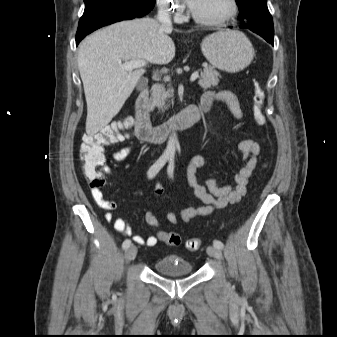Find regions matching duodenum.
<instances>
[{
  "label": "duodenum",
  "instance_id": "duodenum-1",
  "mask_svg": "<svg viewBox=\"0 0 337 337\" xmlns=\"http://www.w3.org/2000/svg\"><path fill=\"white\" fill-rule=\"evenodd\" d=\"M150 109L149 92L143 89L136 100L135 132L144 141H160L173 131L188 128L197 123L209 111V105L199 102L185 107L170 120L152 125L148 112Z\"/></svg>",
  "mask_w": 337,
  "mask_h": 337
}]
</instances>
